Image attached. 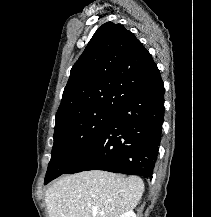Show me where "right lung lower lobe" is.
Returning <instances> with one entry per match:
<instances>
[{
	"mask_svg": "<svg viewBox=\"0 0 211 217\" xmlns=\"http://www.w3.org/2000/svg\"><path fill=\"white\" fill-rule=\"evenodd\" d=\"M163 119L164 86L160 79L130 97L101 137L64 174L105 170L152 179Z\"/></svg>",
	"mask_w": 211,
	"mask_h": 217,
	"instance_id": "right-lung-lower-lobe-1",
	"label": "right lung lower lobe"
}]
</instances>
